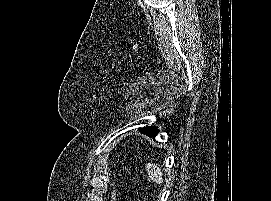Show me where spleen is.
I'll list each match as a JSON object with an SVG mask.
<instances>
[{"label":"spleen","mask_w":271,"mask_h":201,"mask_svg":"<svg viewBox=\"0 0 271 201\" xmlns=\"http://www.w3.org/2000/svg\"><path fill=\"white\" fill-rule=\"evenodd\" d=\"M146 170L149 175V178L155 182L158 185H161L163 183V173L161 170L157 167L156 164L148 163L146 165Z\"/></svg>","instance_id":"1"}]
</instances>
